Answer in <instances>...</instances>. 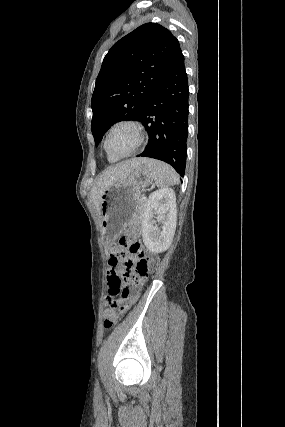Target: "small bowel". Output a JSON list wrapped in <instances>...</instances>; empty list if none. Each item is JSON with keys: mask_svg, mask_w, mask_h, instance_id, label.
<instances>
[{"mask_svg": "<svg viewBox=\"0 0 285 427\" xmlns=\"http://www.w3.org/2000/svg\"><path fill=\"white\" fill-rule=\"evenodd\" d=\"M127 255L126 254H122L119 258H114V257H110L109 259V269H108V275L111 274H122L123 270L119 265V261L126 259ZM153 262L154 264H156L158 262V258L154 257L153 258ZM112 289L110 288V291ZM133 301H127L120 309V312L123 313L125 312L131 305H132Z\"/></svg>", "mask_w": 285, "mask_h": 427, "instance_id": "1", "label": "small bowel"}]
</instances>
